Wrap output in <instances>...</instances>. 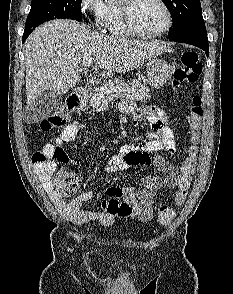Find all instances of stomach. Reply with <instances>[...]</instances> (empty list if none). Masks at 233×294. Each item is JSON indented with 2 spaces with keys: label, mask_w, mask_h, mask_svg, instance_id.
Returning a JSON list of instances; mask_svg holds the SVG:
<instances>
[{
  "label": "stomach",
  "mask_w": 233,
  "mask_h": 294,
  "mask_svg": "<svg viewBox=\"0 0 233 294\" xmlns=\"http://www.w3.org/2000/svg\"><path fill=\"white\" fill-rule=\"evenodd\" d=\"M173 67L165 60L152 58L147 63V83L153 88L163 87L172 77Z\"/></svg>",
  "instance_id": "1"
}]
</instances>
